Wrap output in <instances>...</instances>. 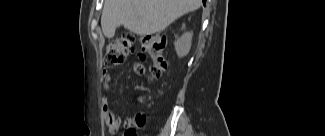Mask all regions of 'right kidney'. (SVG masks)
<instances>
[{"label":"right kidney","instance_id":"ca27d5eb","mask_svg":"<svg viewBox=\"0 0 325 136\" xmlns=\"http://www.w3.org/2000/svg\"><path fill=\"white\" fill-rule=\"evenodd\" d=\"M192 36V32H186L175 41L174 45L178 57L182 58L189 53L191 48Z\"/></svg>","mask_w":325,"mask_h":136}]
</instances>
